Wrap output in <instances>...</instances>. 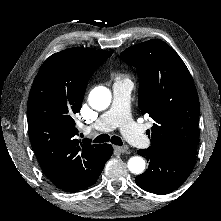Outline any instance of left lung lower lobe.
Masks as SVG:
<instances>
[{"mask_svg": "<svg viewBox=\"0 0 221 221\" xmlns=\"http://www.w3.org/2000/svg\"><path fill=\"white\" fill-rule=\"evenodd\" d=\"M138 154L149 162L148 169L135 178L136 184L145 191L167 194L179 188L191 174L195 156L164 150L141 149Z\"/></svg>", "mask_w": 221, "mask_h": 221, "instance_id": "obj_1", "label": "left lung lower lobe"}]
</instances>
